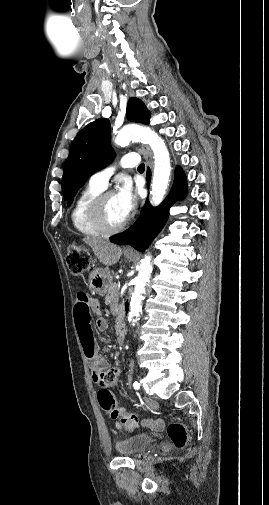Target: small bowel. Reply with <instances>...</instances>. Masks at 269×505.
<instances>
[{
  "instance_id": "small-bowel-1",
  "label": "small bowel",
  "mask_w": 269,
  "mask_h": 505,
  "mask_svg": "<svg viewBox=\"0 0 269 505\" xmlns=\"http://www.w3.org/2000/svg\"><path fill=\"white\" fill-rule=\"evenodd\" d=\"M76 295L77 298L74 302L75 321L79 339L85 356L91 363L93 379L95 382H98L100 373L108 367V362L104 355L97 351L91 325L92 312L97 315L100 314V307L93 298L88 296L89 294L86 289H79ZM96 326L100 331H104L107 329V322L105 319L99 317L96 321ZM141 425L160 430L163 428L164 424L161 420L144 419Z\"/></svg>"
}]
</instances>
